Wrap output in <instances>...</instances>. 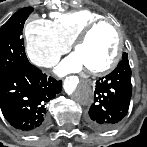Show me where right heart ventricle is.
I'll return each mask as SVG.
<instances>
[{
  "mask_svg": "<svg viewBox=\"0 0 147 147\" xmlns=\"http://www.w3.org/2000/svg\"><path fill=\"white\" fill-rule=\"evenodd\" d=\"M53 32L57 39L65 44H71L80 31L102 16L89 9H78L69 12L52 13Z\"/></svg>",
  "mask_w": 147,
  "mask_h": 147,
  "instance_id": "right-heart-ventricle-1",
  "label": "right heart ventricle"
}]
</instances>
